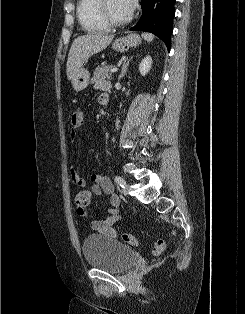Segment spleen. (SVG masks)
<instances>
[{
	"mask_svg": "<svg viewBox=\"0 0 245 314\" xmlns=\"http://www.w3.org/2000/svg\"><path fill=\"white\" fill-rule=\"evenodd\" d=\"M142 37L148 42H151L154 39V35L150 33H142Z\"/></svg>",
	"mask_w": 245,
	"mask_h": 314,
	"instance_id": "1",
	"label": "spleen"
}]
</instances>
